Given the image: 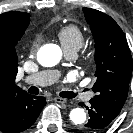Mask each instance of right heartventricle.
<instances>
[{"label": "right heart ventricle", "mask_w": 133, "mask_h": 133, "mask_svg": "<svg viewBox=\"0 0 133 133\" xmlns=\"http://www.w3.org/2000/svg\"><path fill=\"white\" fill-rule=\"evenodd\" d=\"M57 37L63 50L67 52L79 51L85 42L82 31L75 25H67L57 31Z\"/></svg>", "instance_id": "right-heart-ventricle-1"}]
</instances>
